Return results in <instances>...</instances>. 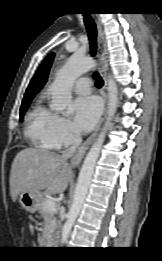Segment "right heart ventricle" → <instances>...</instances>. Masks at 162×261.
I'll return each mask as SVG.
<instances>
[{"label":"right heart ventricle","mask_w":162,"mask_h":261,"mask_svg":"<svg viewBox=\"0 0 162 261\" xmlns=\"http://www.w3.org/2000/svg\"><path fill=\"white\" fill-rule=\"evenodd\" d=\"M55 116L41 100L33 105L26 119V135L35 146L44 149L56 148L50 135V126Z\"/></svg>","instance_id":"e07e8e85"}]
</instances>
